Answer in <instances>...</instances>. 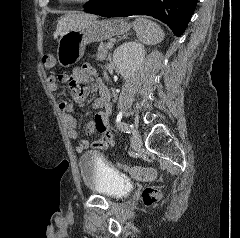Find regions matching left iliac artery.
<instances>
[{
  "label": "left iliac artery",
  "instance_id": "left-iliac-artery-1",
  "mask_svg": "<svg viewBox=\"0 0 240 238\" xmlns=\"http://www.w3.org/2000/svg\"><path fill=\"white\" fill-rule=\"evenodd\" d=\"M119 129H121L122 131H124L126 133H130L131 131H133V126L128 125L126 123H121Z\"/></svg>",
  "mask_w": 240,
  "mask_h": 238
}]
</instances>
